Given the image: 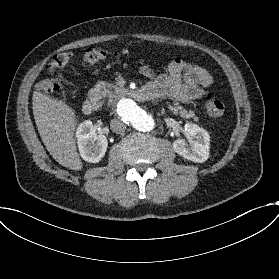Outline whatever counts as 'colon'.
<instances>
[{"mask_svg": "<svg viewBox=\"0 0 279 279\" xmlns=\"http://www.w3.org/2000/svg\"><path fill=\"white\" fill-rule=\"evenodd\" d=\"M126 53V51H124ZM109 54L107 47L105 46H96L88 48L84 51L82 55V63L87 66L95 62L104 60ZM72 58V53L68 50L61 51L55 54L48 62L47 69L50 73L56 74L60 72ZM60 78L55 76L43 80L40 83V88L45 93H51L59 89ZM204 107L207 114L211 117H221L224 114L225 107L223 102L220 100L206 95L204 98Z\"/></svg>", "mask_w": 279, "mask_h": 279, "instance_id": "colon-1", "label": "colon"}]
</instances>
